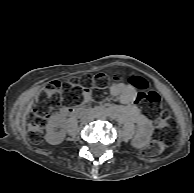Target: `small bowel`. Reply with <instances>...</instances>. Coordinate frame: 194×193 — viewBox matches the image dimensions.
I'll list each match as a JSON object with an SVG mask.
<instances>
[{"instance_id":"obj_1","label":"small bowel","mask_w":194,"mask_h":193,"mask_svg":"<svg viewBox=\"0 0 194 193\" xmlns=\"http://www.w3.org/2000/svg\"><path fill=\"white\" fill-rule=\"evenodd\" d=\"M110 93L123 104L116 109L118 119L121 122L135 123L137 126L135 142L138 146L144 145L152 133V124L136 105L137 92L135 88L127 83L113 82L110 86Z\"/></svg>"}]
</instances>
